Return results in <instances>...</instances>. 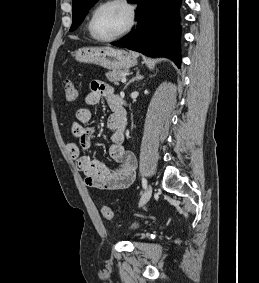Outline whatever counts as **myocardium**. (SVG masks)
<instances>
[{
    "label": "myocardium",
    "mask_w": 259,
    "mask_h": 283,
    "mask_svg": "<svg viewBox=\"0 0 259 283\" xmlns=\"http://www.w3.org/2000/svg\"><path fill=\"white\" fill-rule=\"evenodd\" d=\"M109 4H121L122 6H124L125 9L127 10V13H128V22H127V25L125 26V28L121 32H119L118 34H116L112 37H109V38H101V37H98L94 33L93 24H94L95 17L97 15V13L99 12V10L102 9L103 7L109 5ZM135 20H136V11H135L134 6L131 4V2L129 0H103L92 11V14L90 16L89 23H88V31H89L91 37L93 39H95L96 41L112 42V41L120 39L121 37L128 34L131 31V29L133 28V26L135 25Z\"/></svg>",
    "instance_id": "obj_1"
}]
</instances>
